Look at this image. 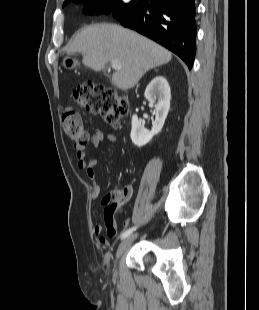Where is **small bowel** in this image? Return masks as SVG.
<instances>
[{
  "label": "small bowel",
  "mask_w": 259,
  "mask_h": 310,
  "mask_svg": "<svg viewBox=\"0 0 259 310\" xmlns=\"http://www.w3.org/2000/svg\"><path fill=\"white\" fill-rule=\"evenodd\" d=\"M107 138L108 140L114 142L116 138L113 135H108L106 136L105 133L102 130H96L92 136H91V144L94 147L100 146V144ZM74 150L76 153V162L77 166L84 170L86 173V176L92 181V195L93 197H98L101 192L100 186L95 182L96 178V172H95V166H96V159H88L86 156V148L83 145H74ZM125 193V201L126 203L132 195V187L127 186L124 189ZM123 203V204H124ZM122 204V205H123ZM116 210H107L106 208L104 209V223L106 226L107 230V235L108 237L115 238L118 236V230L116 227L115 219H114V214ZM103 230V225L101 223H95L93 225V233L98 237V241L101 245L103 246H108L109 245V240L102 236Z\"/></svg>",
  "instance_id": "1"
}]
</instances>
